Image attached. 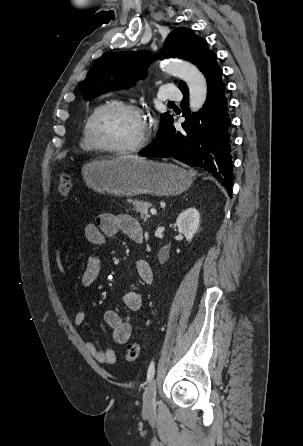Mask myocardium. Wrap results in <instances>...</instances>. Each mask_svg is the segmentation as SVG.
<instances>
[{
    "label": "myocardium",
    "mask_w": 303,
    "mask_h": 446,
    "mask_svg": "<svg viewBox=\"0 0 303 446\" xmlns=\"http://www.w3.org/2000/svg\"><path fill=\"white\" fill-rule=\"evenodd\" d=\"M111 110L131 112L143 120L144 129L140 138L136 142L127 146L116 147V146L106 145L98 139L95 131L96 123L102 114ZM87 134L89 141L95 147V149L104 152L118 153V154L132 153L142 149L147 144L150 137V131L144 118V111L136 105L129 103L114 102V101L102 104L95 109V111L91 114L88 121Z\"/></svg>",
    "instance_id": "myocardium-1"
}]
</instances>
